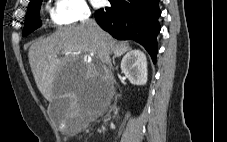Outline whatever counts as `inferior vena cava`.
<instances>
[{
  "label": "inferior vena cava",
  "mask_w": 227,
  "mask_h": 142,
  "mask_svg": "<svg viewBox=\"0 0 227 142\" xmlns=\"http://www.w3.org/2000/svg\"><path fill=\"white\" fill-rule=\"evenodd\" d=\"M89 17H90V12L85 13L84 18L82 20V24L87 26L91 30L94 38L97 41H99V43L101 45V48L103 50V53H104V57H105L106 63L110 65L109 52H108V49H107L106 45L104 44V42L100 38L99 27H98L96 21L91 19V18H89Z\"/></svg>",
  "instance_id": "602c4592"
}]
</instances>
